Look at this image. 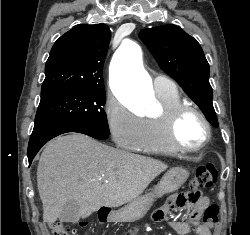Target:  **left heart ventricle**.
<instances>
[{
    "mask_svg": "<svg viewBox=\"0 0 250 235\" xmlns=\"http://www.w3.org/2000/svg\"><path fill=\"white\" fill-rule=\"evenodd\" d=\"M205 137V127L200 117L192 112L184 114L177 126V138L184 146L196 147Z\"/></svg>",
    "mask_w": 250,
    "mask_h": 235,
    "instance_id": "left-heart-ventricle-1",
    "label": "left heart ventricle"
}]
</instances>
